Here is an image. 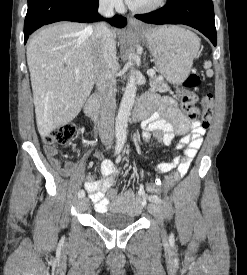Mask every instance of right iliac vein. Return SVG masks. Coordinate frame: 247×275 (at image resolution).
<instances>
[{
    "label": "right iliac vein",
    "instance_id": "obj_1",
    "mask_svg": "<svg viewBox=\"0 0 247 275\" xmlns=\"http://www.w3.org/2000/svg\"><path fill=\"white\" fill-rule=\"evenodd\" d=\"M89 206V200L87 198H81L79 200V209L86 210Z\"/></svg>",
    "mask_w": 247,
    "mask_h": 275
}]
</instances>
